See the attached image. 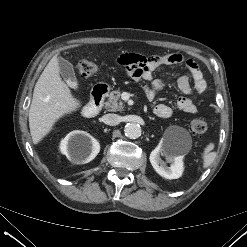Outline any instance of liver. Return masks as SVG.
<instances>
[{
  "label": "liver",
  "mask_w": 247,
  "mask_h": 247,
  "mask_svg": "<svg viewBox=\"0 0 247 247\" xmlns=\"http://www.w3.org/2000/svg\"><path fill=\"white\" fill-rule=\"evenodd\" d=\"M81 107L60 77L57 56H53L35 84L29 109V128L34 144H38L55 123Z\"/></svg>",
  "instance_id": "liver-1"
}]
</instances>
